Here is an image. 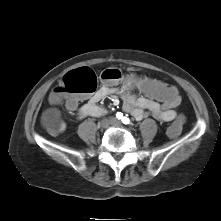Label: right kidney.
Wrapping results in <instances>:
<instances>
[{
    "mask_svg": "<svg viewBox=\"0 0 221 221\" xmlns=\"http://www.w3.org/2000/svg\"><path fill=\"white\" fill-rule=\"evenodd\" d=\"M65 129H66V123L65 122H63V121H60V122H58L57 124H56V126H55V130L57 131V132H64L65 131Z\"/></svg>",
    "mask_w": 221,
    "mask_h": 221,
    "instance_id": "ca27d5eb",
    "label": "right kidney"
}]
</instances>
